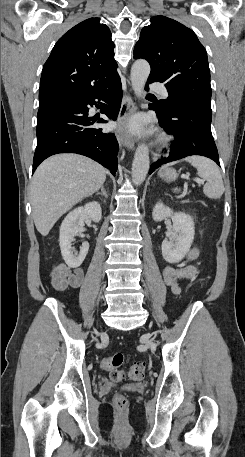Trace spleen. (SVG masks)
<instances>
[{
    "mask_svg": "<svg viewBox=\"0 0 245 457\" xmlns=\"http://www.w3.org/2000/svg\"><path fill=\"white\" fill-rule=\"evenodd\" d=\"M183 160H187L190 162L192 166L197 168L198 176L201 178H206L207 182L203 186V192L209 198H220L222 196L225 188L223 184V178L221 176V172L219 170V166H217L214 160L211 158H207V156H199V154H193V156H186ZM179 160H174V162H168V164H164L162 168H166V166H171V164H176ZM174 192H179L180 188H173Z\"/></svg>",
    "mask_w": 245,
    "mask_h": 457,
    "instance_id": "spleen-1",
    "label": "spleen"
}]
</instances>
